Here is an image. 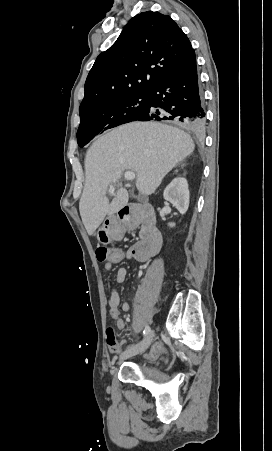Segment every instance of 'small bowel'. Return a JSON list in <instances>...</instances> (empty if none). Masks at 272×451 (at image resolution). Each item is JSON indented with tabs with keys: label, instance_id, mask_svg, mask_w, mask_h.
<instances>
[{
	"label": "small bowel",
	"instance_id": "obj_1",
	"mask_svg": "<svg viewBox=\"0 0 272 451\" xmlns=\"http://www.w3.org/2000/svg\"><path fill=\"white\" fill-rule=\"evenodd\" d=\"M122 258H123V255L120 259L114 258L112 260L105 261L104 270L110 271L112 269L113 265L115 263L119 262ZM126 276H127V269L125 267L119 268L115 275V281L117 283V286L114 288H111L110 293H109V298H108V307H109L110 316L113 319L115 326L119 330H125V328H126V323L120 315V308H119L120 307L119 288L124 283ZM121 309L124 312H128L130 310V305L128 303H122ZM122 344H123V342L121 344H118V346L115 348H110V352L111 353L121 352ZM165 352H166V349H165L163 343L159 342V343H156L152 347L149 356L151 358H157L161 353H165Z\"/></svg>",
	"mask_w": 272,
	"mask_h": 451
}]
</instances>
